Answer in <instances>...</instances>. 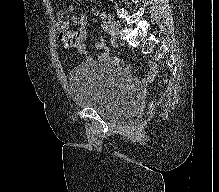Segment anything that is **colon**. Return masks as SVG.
I'll return each mask as SVG.
<instances>
[{"mask_svg":"<svg viewBox=\"0 0 219 192\" xmlns=\"http://www.w3.org/2000/svg\"><path fill=\"white\" fill-rule=\"evenodd\" d=\"M67 27H68V24L65 20L62 19L58 22V28L66 29ZM69 44H71V41H69ZM112 63L115 64V65H122L123 64L122 61L115 60V59L112 60Z\"/></svg>","mask_w":219,"mask_h":192,"instance_id":"obj_1","label":"colon"}]
</instances>
